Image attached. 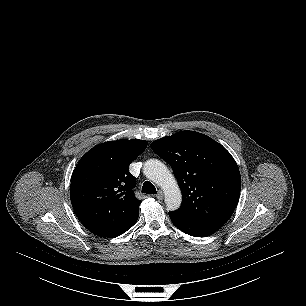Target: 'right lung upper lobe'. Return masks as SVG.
<instances>
[{
    "mask_svg": "<svg viewBox=\"0 0 306 306\" xmlns=\"http://www.w3.org/2000/svg\"><path fill=\"white\" fill-rule=\"evenodd\" d=\"M138 139L108 141L93 147L78 162L70 184L73 209L92 233L116 237L138 219L136 179L128 166L147 147Z\"/></svg>",
    "mask_w": 306,
    "mask_h": 306,
    "instance_id": "1",
    "label": "right lung upper lobe"
}]
</instances>
